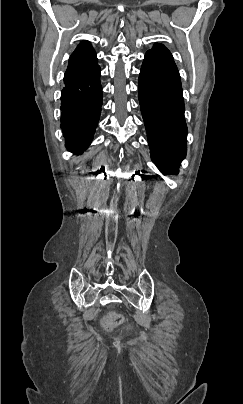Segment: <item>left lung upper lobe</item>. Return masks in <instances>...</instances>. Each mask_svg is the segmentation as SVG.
Returning a JSON list of instances; mask_svg holds the SVG:
<instances>
[{
	"mask_svg": "<svg viewBox=\"0 0 243 404\" xmlns=\"http://www.w3.org/2000/svg\"><path fill=\"white\" fill-rule=\"evenodd\" d=\"M148 52H152L156 55L173 59L169 50L162 44H155L154 47L151 50H149Z\"/></svg>",
	"mask_w": 243,
	"mask_h": 404,
	"instance_id": "1",
	"label": "left lung upper lobe"
}]
</instances>
